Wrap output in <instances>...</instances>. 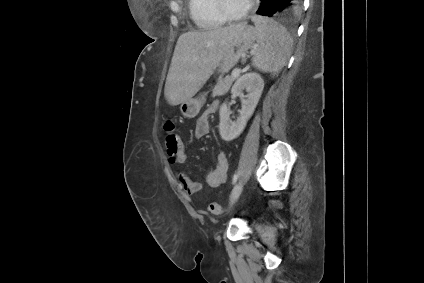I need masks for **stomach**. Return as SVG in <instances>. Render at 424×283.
<instances>
[{
    "label": "stomach",
    "instance_id": "stomach-1",
    "mask_svg": "<svg viewBox=\"0 0 424 283\" xmlns=\"http://www.w3.org/2000/svg\"><path fill=\"white\" fill-rule=\"evenodd\" d=\"M257 39V31L252 26H246L230 43L225 55L218 64V70L220 73L225 74L230 71L239 61V59L251 48L255 40ZM205 97L201 99L190 98L180 105L181 113L184 117L193 118L195 117L203 103Z\"/></svg>",
    "mask_w": 424,
    "mask_h": 283
}]
</instances>
